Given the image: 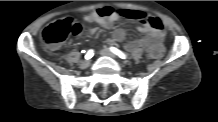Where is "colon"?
<instances>
[{"label": "colon", "instance_id": "1", "mask_svg": "<svg viewBox=\"0 0 218 122\" xmlns=\"http://www.w3.org/2000/svg\"><path fill=\"white\" fill-rule=\"evenodd\" d=\"M122 17L147 23L152 27H162V22L151 15L133 10H119ZM82 26L71 17H62L49 23L42 31V41L49 49H56L69 35H77L81 32ZM166 48L159 46L154 52V57L159 59L165 54Z\"/></svg>", "mask_w": 218, "mask_h": 122}]
</instances>
